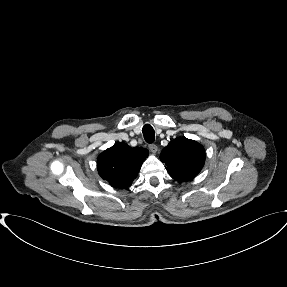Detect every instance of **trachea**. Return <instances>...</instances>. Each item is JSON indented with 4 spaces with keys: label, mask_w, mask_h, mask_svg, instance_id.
<instances>
[{
    "label": "trachea",
    "mask_w": 287,
    "mask_h": 287,
    "mask_svg": "<svg viewBox=\"0 0 287 287\" xmlns=\"http://www.w3.org/2000/svg\"><path fill=\"white\" fill-rule=\"evenodd\" d=\"M142 132H143L144 139L147 143L151 144L154 142L155 131L151 125H149V124L144 125Z\"/></svg>",
    "instance_id": "trachea-1"
}]
</instances>
